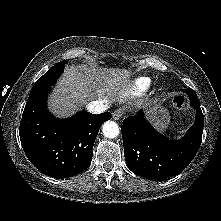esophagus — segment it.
<instances>
[{
    "label": "esophagus",
    "instance_id": "1",
    "mask_svg": "<svg viewBox=\"0 0 221 221\" xmlns=\"http://www.w3.org/2000/svg\"><path fill=\"white\" fill-rule=\"evenodd\" d=\"M123 110L117 109L113 112L112 117L114 120H119L123 116Z\"/></svg>",
    "mask_w": 221,
    "mask_h": 221
}]
</instances>
